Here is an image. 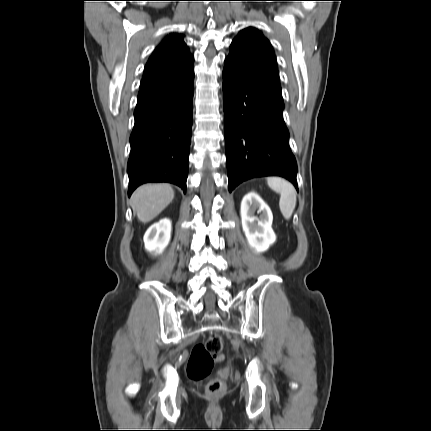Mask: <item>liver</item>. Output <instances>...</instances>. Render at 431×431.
Masks as SVG:
<instances>
[{
  "instance_id": "1",
  "label": "liver",
  "mask_w": 431,
  "mask_h": 431,
  "mask_svg": "<svg viewBox=\"0 0 431 431\" xmlns=\"http://www.w3.org/2000/svg\"><path fill=\"white\" fill-rule=\"evenodd\" d=\"M174 190L169 184H145L135 190L131 206L142 223L157 217L174 199Z\"/></svg>"
}]
</instances>
